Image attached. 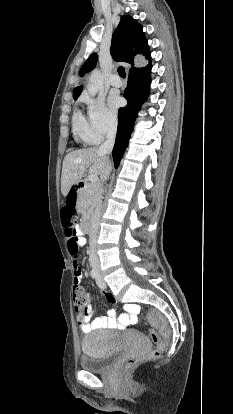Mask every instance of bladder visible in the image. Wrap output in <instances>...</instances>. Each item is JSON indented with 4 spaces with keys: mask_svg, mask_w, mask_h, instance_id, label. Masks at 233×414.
<instances>
[{
    "mask_svg": "<svg viewBox=\"0 0 233 414\" xmlns=\"http://www.w3.org/2000/svg\"><path fill=\"white\" fill-rule=\"evenodd\" d=\"M137 341L147 347L144 336L133 332ZM83 354L80 357V368L88 372H103L108 370L120 354V349L115 345L112 333L96 330L88 333L82 342Z\"/></svg>",
    "mask_w": 233,
    "mask_h": 414,
    "instance_id": "obj_1",
    "label": "bladder"
}]
</instances>
